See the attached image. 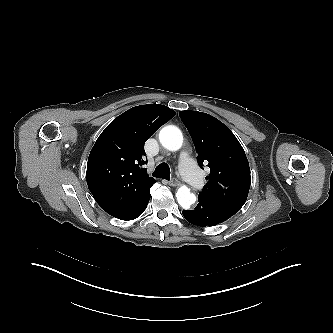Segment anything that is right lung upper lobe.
Wrapping results in <instances>:
<instances>
[{
	"label": "right lung upper lobe",
	"mask_w": 333,
	"mask_h": 333,
	"mask_svg": "<svg viewBox=\"0 0 333 333\" xmlns=\"http://www.w3.org/2000/svg\"><path fill=\"white\" fill-rule=\"evenodd\" d=\"M176 112L164 105L133 107L115 118L94 144L87 163V184L108 214L125 215L156 182L149 177L145 141Z\"/></svg>",
	"instance_id": "obj_1"
}]
</instances>
